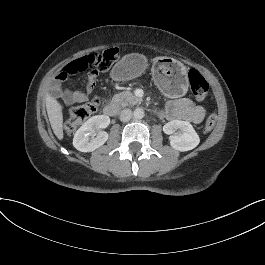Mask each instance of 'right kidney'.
I'll use <instances>...</instances> for the list:
<instances>
[{
  "instance_id": "ca27d5eb",
  "label": "right kidney",
  "mask_w": 265,
  "mask_h": 265,
  "mask_svg": "<svg viewBox=\"0 0 265 265\" xmlns=\"http://www.w3.org/2000/svg\"><path fill=\"white\" fill-rule=\"evenodd\" d=\"M110 124L108 116H93L89 118L83 126H81L74 135L73 146L76 150L82 153L93 152L103 146L109 134L105 131H100L101 128H106Z\"/></svg>"
}]
</instances>
